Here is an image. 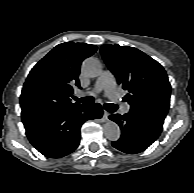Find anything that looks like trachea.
Instances as JSON below:
<instances>
[{
    "label": "trachea",
    "instance_id": "obj_1",
    "mask_svg": "<svg viewBox=\"0 0 194 193\" xmlns=\"http://www.w3.org/2000/svg\"><path fill=\"white\" fill-rule=\"evenodd\" d=\"M73 99L75 101L81 102V103H83L85 105H88V106H91L94 103V100H93V97L92 96H88V97H84V98H78L76 96H73ZM104 107L109 112H114L118 108L117 105L110 104V103H105L104 104Z\"/></svg>",
    "mask_w": 194,
    "mask_h": 193
}]
</instances>
